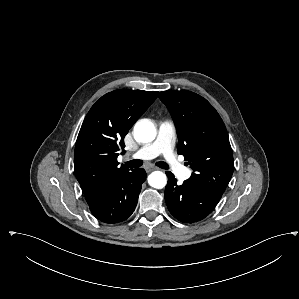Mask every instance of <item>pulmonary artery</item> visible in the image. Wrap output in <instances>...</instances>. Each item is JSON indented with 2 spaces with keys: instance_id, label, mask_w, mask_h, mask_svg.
I'll use <instances>...</instances> for the list:
<instances>
[{
  "instance_id": "e3ab8cb5",
  "label": "pulmonary artery",
  "mask_w": 299,
  "mask_h": 299,
  "mask_svg": "<svg viewBox=\"0 0 299 299\" xmlns=\"http://www.w3.org/2000/svg\"><path fill=\"white\" fill-rule=\"evenodd\" d=\"M175 140V127L170 121H163L159 125L157 138L154 142L138 149L131 156L134 159H152L163 155L170 168L181 179H188L191 175L190 169L184 167L176 158L173 152Z\"/></svg>"
}]
</instances>
